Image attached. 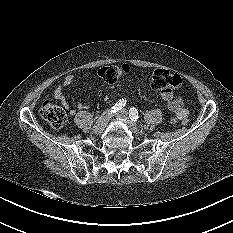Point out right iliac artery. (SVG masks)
<instances>
[{"mask_svg": "<svg viewBox=\"0 0 233 233\" xmlns=\"http://www.w3.org/2000/svg\"><path fill=\"white\" fill-rule=\"evenodd\" d=\"M126 105V99H120L118 102L114 104V106L111 108L110 112L111 113H116L124 108Z\"/></svg>", "mask_w": 233, "mask_h": 233, "instance_id": "obj_1", "label": "right iliac artery"}]
</instances>
